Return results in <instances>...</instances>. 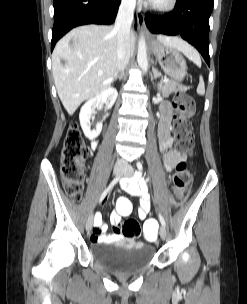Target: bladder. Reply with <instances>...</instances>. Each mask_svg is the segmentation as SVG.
<instances>
[{
	"label": "bladder",
	"instance_id": "bladder-1",
	"mask_svg": "<svg viewBox=\"0 0 247 304\" xmlns=\"http://www.w3.org/2000/svg\"><path fill=\"white\" fill-rule=\"evenodd\" d=\"M92 259L118 273L145 268L155 256V248L134 242H97L90 247Z\"/></svg>",
	"mask_w": 247,
	"mask_h": 304
}]
</instances>
